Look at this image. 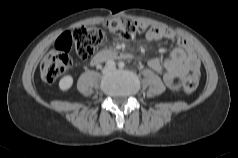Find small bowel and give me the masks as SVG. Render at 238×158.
Instances as JSON below:
<instances>
[{"label": "small bowel", "instance_id": "small-bowel-1", "mask_svg": "<svg viewBox=\"0 0 238 158\" xmlns=\"http://www.w3.org/2000/svg\"><path fill=\"white\" fill-rule=\"evenodd\" d=\"M146 37L149 40L168 39L177 45L169 58L161 60L155 57L148 61L149 67L162 75L164 83L170 89L179 88L189 72L199 69L200 61L193 47L172 30L152 27Z\"/></svg>", "mask_w": 238, "mask_h": 158}]
</instances>
